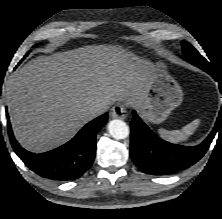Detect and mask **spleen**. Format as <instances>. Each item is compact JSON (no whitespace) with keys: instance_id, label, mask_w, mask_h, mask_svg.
I'll return each instance as SVG.
<instances>
[{"instance_id":"1","label":"spleen","mask_w":222,"mask_h":219,"mask_svg":"<svg viewBox=\"0 0 222 219\" xmlns=\"http://www.w3.org/2000/svg\"><path fill=\"white\" fill-rule=\"evenodd\" d=\"M199 124H200V120L195 119L191 123L184 126L181 130L168 131L165 129H160L159 134L162 138H164L165 140L169 142L180 143L182 141L187 140L188 137L196 131Z\"/></svg>"}]
</instances>
